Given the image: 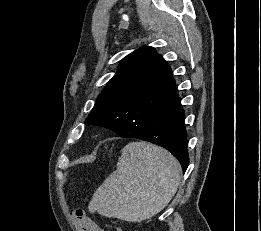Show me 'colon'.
Instances as JSON below:
<instances>
[{"label": "colon", "mask_w": 261, "mask_h": 231, "mask_svg": "<svg viewBox=\"0 0 261 231\" xmlns=\"http://www.w3.org/2000/svg\"><path fill=\"white\" fill-rule=\"evenodd\" d=\"M70 220L75 224L78 231H85L91 226V220L88 217L85 210L77 208L71 211ZM116 231H122L121 228L117 227Z\"/></svg>", "instance_id": "colon-1"}]
</instances>
